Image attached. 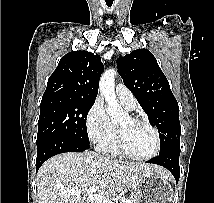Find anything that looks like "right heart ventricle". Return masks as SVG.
<instances>
[{
	"label": "right heart ventricle",
	"mask_w": 214,
	"mask_h": 203,
	"mask_svg": "<svg viewBox=\"0 0 214 203\" xmlns=\"http://www.w3.org/2000/svg\"><path fill=\"white\" fill-rule=\"evenodd\" d=\"M99 149L103 152L106 153L108 155L111 156H119L121 155L119 149H118V145H117V130L115 132V134L113 135V137L106 142L105 144L101 145L99 147Z\"/></svg>",
	"instance_id": "obj_1"
}]
</instances>
